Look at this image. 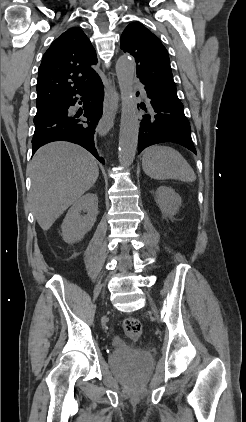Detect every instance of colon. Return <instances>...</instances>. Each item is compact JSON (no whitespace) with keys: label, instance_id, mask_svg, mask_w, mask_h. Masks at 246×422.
I'll return each instance as SVG.
<instances>
[{"label":"colon","instance_id":"1","mask_svg":"<svg viewBox=\"0 0 246 422\" xmlns=\"http://www.w3.org/2000/svg\"><path fill=\"white\" fill-rule=\"evenodd\" d=\"M122 328L126 336L134 341L141 337L143 331L141 321L135 317H126L123 320Z\"/></svg>","mask_w":246,"mask_h":422}]
</instances>
